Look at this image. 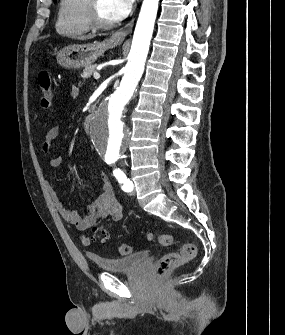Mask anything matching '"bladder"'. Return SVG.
<instances>
[{"mask_svg":"<svg viewBox=\"0 0 285 335\" xmlns=\"http://www.w3.org/2000/svg\"><path fill=\"white\" fill-rule=\"evenodd\" d=\"M148 257V250L141 249L125 256L92 258V265L102 268L106 273H133L145 264Z\"/></svg>","mask_w":285,"mask_h":335,"instance_id":"1","label":"bladder"}]
</instances>
